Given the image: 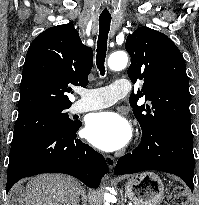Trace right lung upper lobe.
<instances>
[{
	"mask_svg": "<svg viewBox=\"0 0 199 205\" xmlns=\"http://www.w3.org/2000/svg\"><path fill=\"white\" fill-rule=\"evenodd\" d=\"M93 51L82 44L73 23L48 28L30 44L20 83L19 114L71 106L70 85L86 87Z\"/></svg>",
	"mask_w": 199,
	"mask_h": 205,
	"instance_id": "cb5924a9",
	"label": "right lung upper lobe"
}]
</instances>
